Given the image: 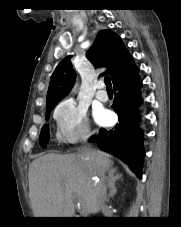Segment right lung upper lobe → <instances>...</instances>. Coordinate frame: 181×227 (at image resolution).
<instances>
[{
    "label": "right lung upper lobe",
    "mask_w": 181,
    "mask_h": 227,
    "mask_svg": "<svg viewBox=\"0 0 181 227\" xmlns=\"http://www.w3.org/2000/svg\"><path fill=\"white\" fill-rule=\"evenodd\" d=\"M130 55L121 39L111 30H101L86 56L96 67L107 66L105 73L113 80L119 73L125 58ZM71 56L63 59L53 72L48 88L46 107L56 105L71 89L75 71L70 63Z\"/></svg>",
    "instance_id": "1"
}]
</instances>
